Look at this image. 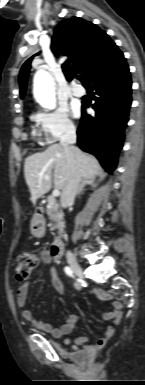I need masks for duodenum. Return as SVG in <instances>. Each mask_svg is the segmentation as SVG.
<instances>
[{
    "label": "duodenum",
    "instance_id": "duodenum-1",
    "mask_svg": "<svg viewBox=\"0 0 145 385\" xmlns=\"http://www.w3.org/2000/svg\"><path fill=\"white\" fill-rule=\"evenodd\" d=\"M39 214H43L42 210L38 211ZM40 219H36L34 221L35 225H38L40 223ZM63 253V241L61 239H58L53 242L51 246V254L55 258H59Z\"/></svg>",
    "mask_w": 145,
    "mask_h": 385
}]
</instances>
